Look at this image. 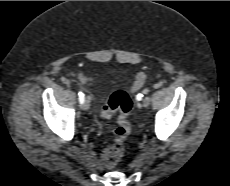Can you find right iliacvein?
<instances>
[{
	"mask_svg": "<svg viewBox=\"0 0 230 186\" xmlns=\"http://www.w3.org/2000/svg\"><path fill=\"white\" fill-rule=\"evenodd\" d=\"M90 108V102L88 98H85L83 103H82V109L87 111Z\"/></svg>",
	"mask_w": 230,
	"mask_h": 186,
	"instance_id": "right-iliac-vein-1",
	"label": "right iliac vein"
}]
</instances>
